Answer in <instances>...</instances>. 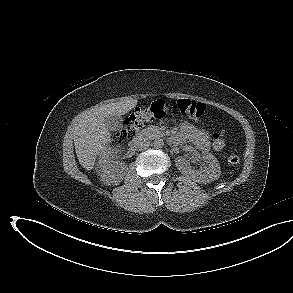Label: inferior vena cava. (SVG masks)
Segmentation results:
<instances>
[{"label":"inferior vena cava","mask_w":293,"mask_h":293,"mask_svg":"<svg viewBox=\"0 0 293 293\" xmlns=\"http://www.w3.org/2000/svg\"><path fill=\"white\" fill-rule=\"evenodd\" d=\"M150 146V141L147 139H139L133 144V148L136 150H142Z\"/></svg>","instance_id":"inferior-vena-cava-1"}]
</instances>
